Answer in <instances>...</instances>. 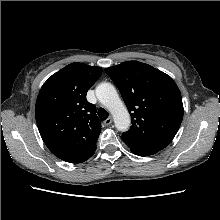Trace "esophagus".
<instances>
[{"instance_id": "obj_1", "label": "esophagus", "mask_w": 220, "mask_h": 220, "mask_svg": "<svg viewBox=\"0 0 220 220\" xmlns=\"http://www.w3.org/2000/svg\"><path fill=\"white\" fill-rule=\"evenodd\" d=\"M112 121H113L112 117H109L103 123H104L105 126H108L112 123Z\"/></svg>"}]
</instances>
